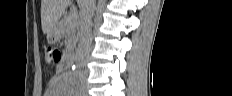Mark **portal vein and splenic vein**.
Wrapping results in <instances>:
<instances>
[{
	"label": "portal vein and splenic vein",
	"mask_w": 232,
	"mask_h": 96,
	"mask_svg": "<svg viewBox=\"0 0 232 96\" xmlns=\"http://www.w3.org/2000/svg\"><path fill=\"white\" fill-rule=\"evenodd\" d=\"M76 17H77V14L73 12V13L71 14V18H76Z\"/></svg>",
	"instance_id": "1"
}]
</instances>
